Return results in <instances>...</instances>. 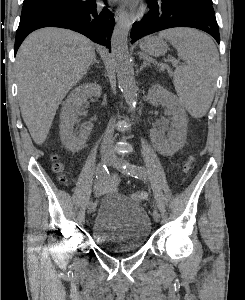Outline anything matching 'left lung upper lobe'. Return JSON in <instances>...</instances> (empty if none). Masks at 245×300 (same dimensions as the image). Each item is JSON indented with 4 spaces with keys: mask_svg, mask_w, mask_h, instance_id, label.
Returning a JSON list of instances; mask_svg holds the SVG:
<instances>
[{
    "mask_svg": "<svg viewBox=\"0 0 245 300\" xmlns=\"http://www.w3.org/2000/svg\"><path fill=\"white\" fill-rule=\"evenodd\" d=\"M202 1H204L206 3H209V4H212V0H202Z\"/></svg>",
    "mask_w": 245,
    "mask_h": 300,
    "instance_id": "1",
    "label": "left lung upper lobe"
}]
</instances>
